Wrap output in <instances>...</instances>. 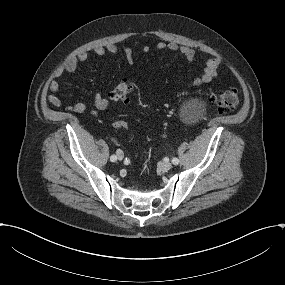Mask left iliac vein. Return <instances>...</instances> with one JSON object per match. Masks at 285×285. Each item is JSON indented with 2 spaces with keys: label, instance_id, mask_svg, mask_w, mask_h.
I'll use <instances>...</instances> for the list:
<instances>
[{
  "label": "left iliac vein",
  "instance_id": "1",
  "mask_svg": "<svg viewBox=\"0 0 285 285\" xmlns=\"http://www.w3.org/2000/svg\"><path fill=\"white\" fill-rule=\"evenodd\" d=\"M159 166L163 171H167V170L171 169L172 164L169 162H161Z\"/></svg>",
  "mask_w": 285,
  "mask_h": 285
}]
</instances>
